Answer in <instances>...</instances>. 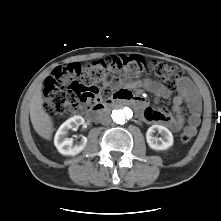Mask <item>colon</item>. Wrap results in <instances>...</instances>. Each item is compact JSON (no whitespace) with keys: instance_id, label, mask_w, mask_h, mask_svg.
Returning <instances> with one entry per match:
<instances>
[{"instance_id":"obj_1","label":"colon","mask_w":221,"mask_h":221,"mask_svg":"<svg viewBox=\"0 0 221 221\" xmlns=\"http://www.w3.org/2000/svg\"><path fill=\"white\" fill-rule=\"evenodd\" d=\"M122 70L128 78L144 71L153 73L168 90L176 87L184 76L181 67L164 62L146 63L139 56H110L82 66L72 63L55 68L44 85L43 109L50 116H64L76 108L86 107L97 100L98 84L108 78L111 71ZM192 134L184 132L181 141L186 143Z\"/></svg>"}]
</instances>
